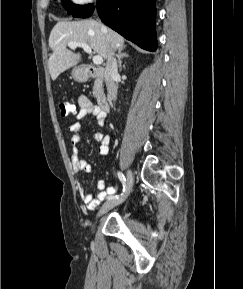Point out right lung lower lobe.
I'll return each instance as SVG.
<instances>
[{"mask_svg": "<svg viewBox=\"0 0 243 289\" xmlns=\"http://www.w3.org/2000/svg\"><path fill=\"white\" fill-rule=\"evenodd\" d=\"M101 20L126 39L148 51L157 49L155 0H97ZM94 12L92 4L82 6L73 17L86 18Z\"/></svg>", "mask_w": 243, "mask_h": 289, "instance_id": "98d812e1", "label": "right lung lower lobe"}]
</instances>
